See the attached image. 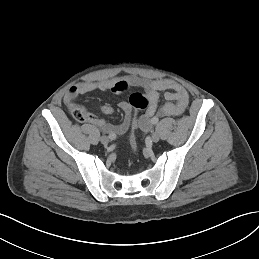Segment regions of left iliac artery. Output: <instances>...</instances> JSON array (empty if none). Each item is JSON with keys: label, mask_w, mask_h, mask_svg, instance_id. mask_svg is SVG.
<instances>
[{"label": "left iliac artery", "mask_w": 259, "mask_h": 259, "mask_svg": "<svg viewBox=\"0 0 259 259\" xmlns=\"http://www.w3.org/2000/svg\"><path fill=\"white\" fill-rule=\"evenodd\" d=\"M158 121H159L158 117H153V118L151 119V123H152V124H157Z\"/></svg>", "instance_id": "44dca946"}]
</instances>
